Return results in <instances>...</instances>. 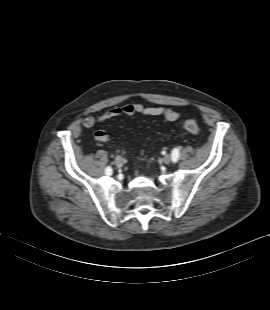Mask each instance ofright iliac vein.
<instances>
[{"mask_svg": "<svg viewBox=\"0 0 270 310\" xmlns=\"http://www.w3.org/2000/svg\"><path fill=\"white\" fill-rule=\"evenodd\" d=\"M123 158L121 157V156H117L116 158H115V164H116V166H118V167H120V166H122V164H123Z\"/></svg>", "mask_w": 270, "mask_h": 310, "instance_id": "obj_1", "label": "right iliac vein"}]
</instances>
